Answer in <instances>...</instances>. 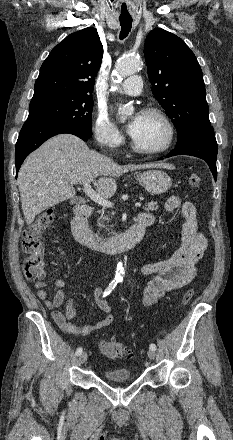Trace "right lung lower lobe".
Masks as SVG:
<instances>
[{
	"mask_svg": "<svg viewBox=\"0 0 233 440\" xmlns=\"http://www.w3.org/2000/svg\"><path fill=\"white\" fill-rule=\"evenodd\" d=\"M61 133H70L87 141L90 137L75 126L46 121H26L23 125L15 149L16 177L18 170L32 151L38 148L50 137Z\"/></svg>",
	"mask_w": 233,
	"mask_h": 440,
	"instance_id": "98d812e1",
	"label": "right lung lower lobe"
}]
</instances>
